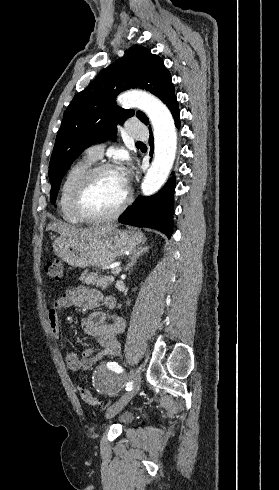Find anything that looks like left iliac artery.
Returning <instances> with one entry per match:
<instances>
[{"mask_svg": "<svg viewBox=\"0 0 279 490\" xmlns=\"http://www.w3.org/2000/svg\"><path fill=\"white\" fill-rule=\"evenodd\" d=\"M108 367H109V369H111L117 373H121L123 371V368L120 365H118L116 362H110L108 364Z\"/></svg>", "mask_w": 279, "mask_h": 490, "instance_id": "left-iliac-artery-1", "label": "left iliac artery"}]
</instances>
